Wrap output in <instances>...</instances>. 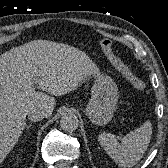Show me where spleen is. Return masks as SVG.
<instances>
[{"instance_id": "1", "label": "spleen", "mask_w": 168, "mask_h": 168, "mask_svg": "<svg viewBox=\"0 0 168 168\" xmlns=\"http://www.w3.org/2000/svg\"><path fill=\"white\" fill-rule=\"evenodd\" d=\"M152 124L145 121L139 128L130 131L119 143L115 135L102 133L98 140L107 154L123 168L134 166L143 157L150 143Z\"/></svg>"}]
</instances>
